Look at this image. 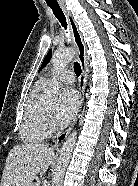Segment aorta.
I'll use <instances>...</instances> for the list:
<instances>
[{
  "instance_id": "1",
  "label": "aorta",
  "mask_w": 138,
  "mask_h": 186,
  "mask_svg": "<svg viewBox=\"0 0 138 186\" xmlns=\"http://www.w3.org/2000/svg\"><path fill=\"white\" fill-rule=\"evenodd\" d=\"M75 56V51L71 48L56 51L52 57V64L54 71L61 72L70 63ZM49 99L52 102L60 100V84L56 78H53L51 87L49 88ZM77 131H73L63 143L60 151V156L52 177L51 186H62L66 168L70 162V158L76 144Z\"/></svg>"
}]
</instances>
